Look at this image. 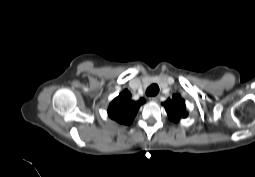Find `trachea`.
Listing matches in <instances>:
<instances>
[{"mask_svg": "<svg viewBox=\"0 0 255 177\" xmlns=\"http://www.w3.org/2000/svg\"><path fill=\"white\" fill-rule=\"evenodd\" d=\"M159 92V86L157 84H152L150 85L147 90H146V94L148 96H155L157 95Z\"/></svg>", "mask_w": 255, "mask_h": 177, "instance_id": "obj_1", "label": "trachea"}]
</instances>
